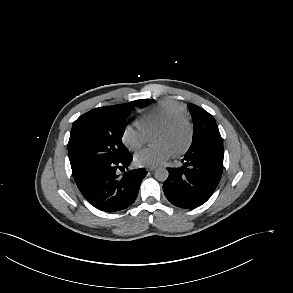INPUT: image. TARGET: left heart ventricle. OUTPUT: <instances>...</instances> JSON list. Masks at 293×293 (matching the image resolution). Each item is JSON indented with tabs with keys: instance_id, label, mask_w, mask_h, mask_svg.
Returning <instances> with one entry per match:
<instances>
[{
	"instance_id": "1",
	"label": "left heart ventricle",
	"mask_w": 293,
	"mask_h": 293,
	"mask_svg": "<svg viewBox=\"0 0 293 293\" xmlns=\"http://www.w3.org/2000/svg\"><path fill=\"white\" fill-rule=\"evenodd\" d=\"M187 140V129L185 127H179L173 131L158 130L155 136V142L167 143L176 151L180 149Z\"/></svg>"
}]
</instances>
